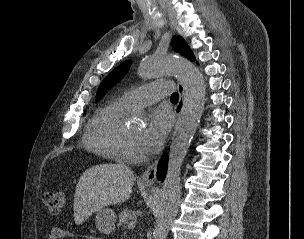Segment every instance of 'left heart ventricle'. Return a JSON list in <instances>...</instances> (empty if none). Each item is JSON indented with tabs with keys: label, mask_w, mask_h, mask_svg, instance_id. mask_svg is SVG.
Masks as SVG:
<instances>
[{
	"label": "left heart ventricle",
	"mask_w": 304,
	"mask_h": 239,
	"mask_svg": "<svg viewBox=\"0 0 304 239\" xmlns=\"http://www.w3.org/2000/svg\"><path fill=\"white\" fill-rule=\"evenodd\" d=\"M130 138H131V141L134 145V147L138 150V145H137V140H138V137L141 135V133L143 132V128L142 127H138V128H132V129H128L127 130Z\"/></svg>",
	"instance_id": "b2bd125f"
}]
</instances>
